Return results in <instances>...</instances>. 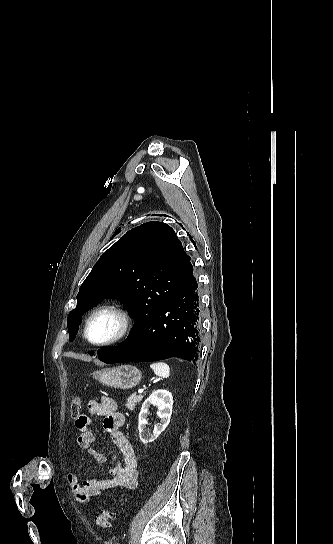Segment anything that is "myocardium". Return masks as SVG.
<instances>
[{
	"label": "myocardium",
	"instance_id": "obj_1",
	"mask_svg": "<svg viewBox=\"0 0 333 544\" xmlns=\"http://www.w3.org/2000/svg\"><path fill=\"white\" fill-rule=\"evenodd\" d=\"M102 312H111V313H113L119 320V328H118L117 333L113 337H111L110 339H108L106 341H102V342H95V341H92L89 338L88 330H89V326H90L92 320L98 314H100ZM131 327H132V317H131L129 311L122 304H120L119 302L108 301V302H105V303H102V304L98 305L96 308H94L91 311V313L89 314V316L87 317V319L85 321V325H84V329H83V335H84V338L86 339V341L88 343H90L91 345L97 346V347H105V346L113 345V344L121 341L122 339H124L128 335V333L130 332Z\"/></svg>",
	"mask_w": 333,
	"mask_h": 544
}]
</instances>
